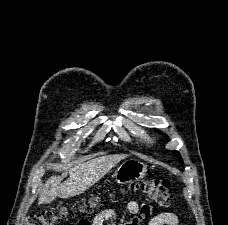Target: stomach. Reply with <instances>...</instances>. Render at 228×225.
Wrapping results in <instances>:
<instances>
[{
	"label": "stomach",
	"instance_id": "1",
	"mask_svg": "<svg viewBox=\"0 0 228 225\" xmlns=\"http://www.w3.org/2000/svg\"><path fill=\"white\" fill-rule=\"evenodd\" d=\"M146 173L147 167L144 163H140L137 159H129L116 169L114 175L116 183L127 185V183H135V181L144 179Z\"/></svg>",
	"mask_w": 228,
	"mask_h": 225
}]
</instances>
